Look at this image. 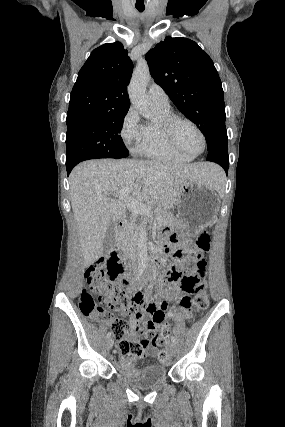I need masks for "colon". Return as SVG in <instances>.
Segmentation results:
<instances>
[{"label": "colon", "mask_w": 285, "mask_h": 427, "mask_svg": "<svg viewBox=\"0 0 285 427\" xmlns=\"http://www.w3.org/2000/svg\"><path fill=\"white\" fill-rule=\"evenodd\" d=\"M182 247L184 250H177L174 253L179 263L189 257L194 258L196 255L207 253L210 248V239L207 235L184 239ZM194 263L199 270L198 274H184L179 267L172 266L166 275L170 283L179 285L186 291L181 305L187 311L192 309L201 311L208 306L206 286L203 282L205 262L202 260ZM125 271L124 262L115 253L91 264L85 272L87 286L80 292L79 309L91 321L109 324L110 333L116 341V351L126 362H132L146 350L155 348L157 359L161 363H166L169 357L163 347L170 335L167 324L153 325L139 340H134L130 336V322L126 315L134 312L139 307V303L135 295L114 286L116 281H121L124 285L129 284ZM104 305L123 311L125 316L112 318L104 309ZM162 316L165 319L166 314Z\"/></svg>", "instance_id": "colon-1"}]
</instances>
